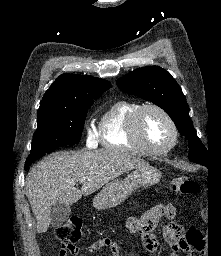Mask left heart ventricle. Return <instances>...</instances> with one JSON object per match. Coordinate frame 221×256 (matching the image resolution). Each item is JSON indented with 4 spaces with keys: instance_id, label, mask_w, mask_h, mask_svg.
<instances>
[{
    "instance_id": "obj_1",
    "label": "left heart ventricle",
    "mask_w": 221,
    "mask_h": 256,
    "mask_svg": "<svg viewBox=\"0 0 221 256\" xmlns=\"http://www.w3.org/2000/svg\"><path fill=\"white\" fill-rule=\"evenodd\" d=\"M142 135L153 148L166 147L172 140V131L166 118L156 110H147L141 123Z\"/></svg>"
}]
</instances>
